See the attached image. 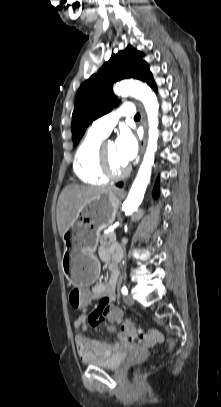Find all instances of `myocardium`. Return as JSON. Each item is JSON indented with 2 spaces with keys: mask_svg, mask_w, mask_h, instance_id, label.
<instances>
[{
  "mask_svg": "<svg viewBox=\"0 0 221 407\" xmlns=\"http://www.w3.org/2000/svg\"><path fill=\"white\" fill-rule=\"evenodd\" d=\"M106 144L103 143L100 147L99 151V166H100V171L101 173L107 178V179H119L124 176H126L130 168L128 166H125L122 170L115 171L109 162L107 153H106Z\"/></svg>",
  "mask_w": 221,
  "mask_h": 407,
  "instance_id": "myocardium-1",
  "label": "myocardium"
}]
</instances>
